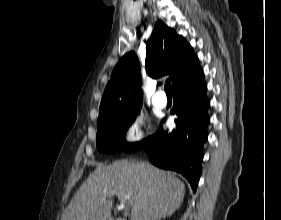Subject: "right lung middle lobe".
<instances>
[{"instance_id":"right-lung-middle-lobe-1","label":"right lung middle lobe","mask_w":281,"mask_h":220,"mask_svg":"<svg viewBox=\"0 0 281 220\" xmlns=\"http://www.w3.org/2000/svg\"><path fill=\"white\" fill-rule=\"evenodd\" d=\"M139 110L130 114L109 118L98 125L97 149L103 153L132 152L137 150L149 138L138 143L127 144L125 134L131 123L135 120Z\"/></svg>"}]
</instances>
